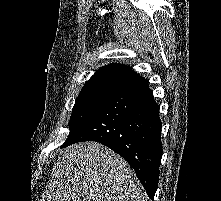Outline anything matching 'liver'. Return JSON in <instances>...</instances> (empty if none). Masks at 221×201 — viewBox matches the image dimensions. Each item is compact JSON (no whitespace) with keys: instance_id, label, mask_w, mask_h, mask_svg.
Instances as JSON below:
<instances>
[{"instance_id":"6515ba94","label":"liver","mask_w":221,"mask_h":201,"mask_svg":"<svg viewBox=\"0 0 221 201\" xmlns=\"http://www.w3.org/2000/svg\"><path fill=\"white\" fill-rule=\"evenodd\" d=\"M129 164L98 142L74 144L60 153L44 201H141Z\"/></svg>"}]
</instances>
